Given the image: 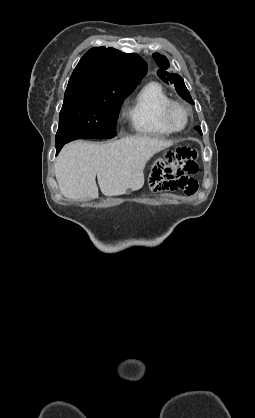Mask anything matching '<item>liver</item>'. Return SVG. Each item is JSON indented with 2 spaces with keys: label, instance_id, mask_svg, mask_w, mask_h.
I'll list each match as a JSON object with an SVG mask.
<instances>
[{
  "label": "liver",
  "instance_id": "1",
  "mask_svg": "<svg viewBox=\"0 0 255 418\" xmlns=\"http://www.w3.org/2000/svg\"><path fill=\"white\" fill-rule=\"evenodd\" d=\"M171 145V141L147 136L126 137L106 144L69 143L55 162L60 192L73 200L98 198L96 175L105 196L139 190L144 185L147 161Z\"/></svg>",
  "mask_w": 255,
  "mask_h": 418
}]
</instances>
